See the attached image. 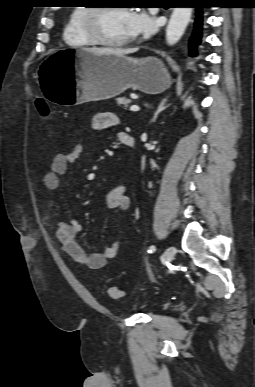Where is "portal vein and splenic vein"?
Returning a JSON list of instances; mask_svg holds the SVG:
<instances>
[{
    "instance_id": "18ae733b",
    "label": "portal vein and splenic vein",
    "mask_w": 255,
    "mask_h": 387,
    "mask_svg": "<svg viewBox=\"0 0 255 387\" xmlns=\"http://www.w3.org/2000/svg\"><path fill=\"white\" fill-rule=\"evenodd\" d=\"M140 110V108L137 106V105H132L131 107H130V111H132V112H137V111H139Z\"/></svg>"
}]
</instances>
